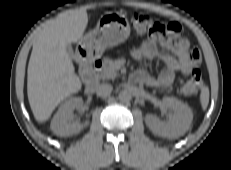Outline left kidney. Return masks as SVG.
Segmentation results:
<instances>
[{"mask_svg":"<svg viewBox=\"0 0 231 170\" xmlns=\"http://www.w3.org/2000/svg\"><path fill=\"white\" fill-rule=\"evenodd\" d=\"M162 105L172 111L168 122L160 121L158 117L148 114L145 123L149 129L158 136L178 138L185 134L193 120L191 108L175 97H164Z\"/></svg>","mask_w":231,"mask_h":170,"instance_id":"5707ae66","label":"left kidney"}]
</instances>
